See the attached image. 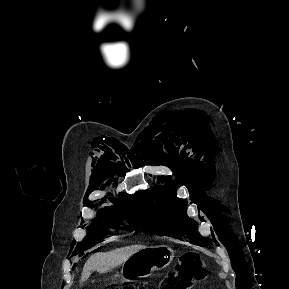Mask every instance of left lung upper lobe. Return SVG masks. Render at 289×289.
<instances>
[{
	"mask_svg": "<svg viewBox=\"0 0 289 289\" xmlns=\"http://www.w3.org/2000/svg\"><path fill=\"white\" fill-rule=\"evenodd\" d=\"M171 185L172 188L168 187ZM176 185L156 186L137 195L144 232L188 240L207 247L210 241L200 235L197 223L186 213L187 202L176 198Z\"/></svg>",
	"mask_w": 289,
	"mask_h": 289,
	"instance_id": "left-lung-upper-lobe-1",
	"label": "left lung upper lobe"
}]
</instances>
